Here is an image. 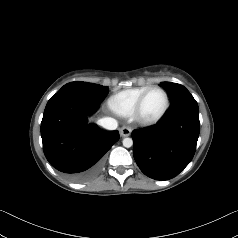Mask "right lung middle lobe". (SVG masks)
Wrapping results in <instances>:
<instances>
[{
  "label": "right lung middle lobe",
  "mask_w": 238,
  "mask_h": 238,
  "mask_svg": "<svg viewBox=\"0 0 238 238\" xmlns=\"http://www.w3.org/2000/svg\"><path fill=\"white\" fill-rule=\"evenodd\" d=\"M74 90L91 99L103 101L108 94V87L87 82H70L64 85L60 91Z\"/></svg>",
  "instance_id": "obj_1"
}]
</instances>
